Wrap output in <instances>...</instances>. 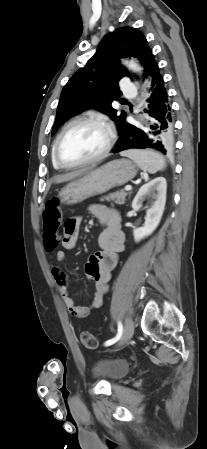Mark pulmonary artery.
<instances>
[{"mask_svg": "<svg viewBox=\"0 0 207 449\" xmlns=\"http://www.w3.org/2000/svg\"><path fill=\"white\" fill-rule=\"evenodd\" d=\"M124 95L127 97H134L136 95V88L133 84L129 83L124 91H123Z\"/></svg>", "mask_w": 207, "mask_h": 449, "instance_id": "obj_1", "label": "pulmonary artery"}]
</instances>
